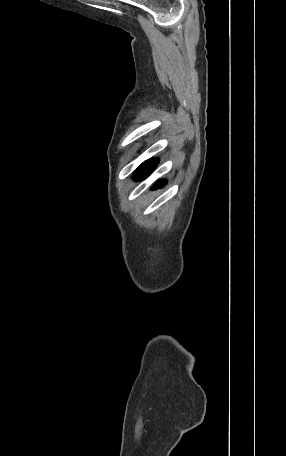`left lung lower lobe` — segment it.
Instances as JSON below:
<instances>
[{
    "instance_id": "left-lung-lower-lobe-1",
    "label": "left lung lower lobe",
    "mask_w": 286,
    "mask_h": 456,
    "mask_svg": "<svg viewBox=\"0 0 286 456\" xmlns=\"http://www.w3.org/2000/svg\"><path fill=\"white\" fill-rule=\"evenodd\" d=\"M158 164V160L157 159H150V160H147L145 161L144 163H142L136 170V172L134 173L133 177L136 179V180H141V179H144L146 178L147 176L150 175V173L155 169L156 165ZM166 182L165 181H159L153 189H156L158 186H162L163 184H165Z\"/></svg>"
}]
</instances>
